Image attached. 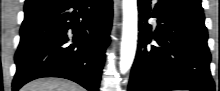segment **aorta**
Listing matches in <instances>:
<instances>
[{
	"mask_svg": "<svg viewBox=\"0 0 220 91\" xmlns=\"http://www.w3.org/2000/svg\"><path fill=\"white\" fill-rule=\"evenodd\" d=\"M123 27L120 50V72L125 74L132 66L137 46V0H122Z\"/></svg>",
	"mask_w": 220,
	"mask_h": 91,
	"instance_id": "aorta-1",
	"label": "aorta"
}]
</instances>
